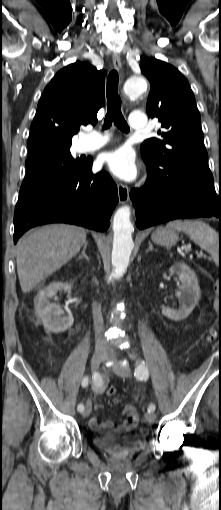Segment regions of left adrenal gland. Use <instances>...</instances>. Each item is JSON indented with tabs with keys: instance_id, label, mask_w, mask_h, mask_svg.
Returning a JSON list of instances; mask_svg holds the SVG:
<instances>
[{
	"instance_id": "left-adrenal-gland-1",
	"label": "left adrenal gland",
	"mask_w": 221,
	"mask_h": 510,
	"mask_svg": "<svg viewBox=\"0 0 221 510\" xmlns=\"http://www.w3.org/2000/svg\"><path fill=\"white\" fill-rule=\"evenodd\" d=\"M149 251H157L156 249L153 248V245L151 242H149V248L146 250V253Z\"/></svg>"
}]
</instances>
